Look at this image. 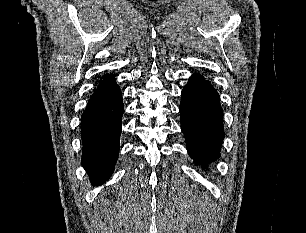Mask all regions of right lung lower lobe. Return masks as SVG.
<instances>
[{"label":"right lung lower lobe","instance_id":"98d812e1","mask_svg":"<svg viewBox=\"0 0 306 233\" xmlns=\"http://www.w3.org/2000/svg\"><path fill=\"white\" fill-rule=\"evenodd\" d=\"M124 107L113 74L103 77L81 116V164L91 183L101 185L112 175L119 155Z\"/></svg>","mask_w":306,"mask_h":233}]
</instances>
